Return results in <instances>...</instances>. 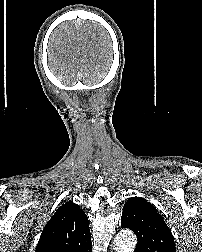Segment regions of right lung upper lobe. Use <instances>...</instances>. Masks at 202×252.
I'll return each mask as SVG.
<instances>
[{
    "mask_svg": "<svg viewBox=\"0 0 202 252\" xmlns=\"http://www.w3.org/2000/svg\"><path fill=\"white\" fill-rule=\"evenodd\" d=\"M91 247L88 218L77 204L68 201L46 224L36 252H90Z\"/></svg>",
    "mask_w": 202,
    "mask_h": 252,
    "instance_id": "cb5924a9",
    "label": "right lung upper lobe"
}]
</instances>
